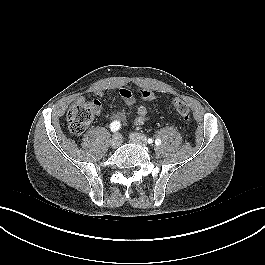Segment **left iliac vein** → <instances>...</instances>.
I'll list each match as a JSON object with an SVG mask.
<instances>
[{
  "instance_id": "1",
  "label": "left iliac vein",
  "mask_w": 265,
  "mask_h": 265,
  "mask_svg": "<svg viewBox=\"0 0 265 265\" xmlns=\"http://www.w3.org/2000/svg\"><path fill=\"white\" fill-rule=\"evenodd\" d=\"M130 139L133 143L139 144L143 147L147 145V138L141 133H131Z\"/></svg>"
}]
</instances>
